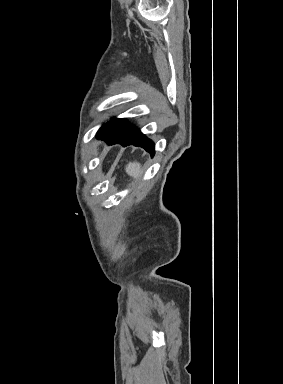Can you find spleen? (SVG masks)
I'll use <instances>...</instances> for the list:
<instances>
[{
    "mask_svg": "<svg viewBox=\"0 0 283 384\" xmlns=\"http://www.w3.org/2000/svg\"><path fill=\"white\" fill-rule=\"evenodd\" d=\"M125 172L128 176H132V178L138 180L142 174L141 164H139V162H129V164L125 166Z\"/></svg>",
    "mask_w": 283,
    "mask_h": 384,
    "instance_id": "1",
    "label": "spleen"
}]
</instances>
